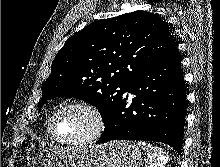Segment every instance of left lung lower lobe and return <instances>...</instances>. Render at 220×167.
<instances>
[{
    "label": "left lung lower lobe",
    "mask_w": 220,
    "mask_h": 167,
    "mask_svg": "<svg viewBox=\"0 0 220 167\" xmlns=\"http://www.w3.org/2000/svg\"><path fill=\"white\" fill-rule=\"evenodd\" d=\"M129 92L132 104L126 107ZM184 77L177 49L147 66L127 83L98 144L111 140L163 142L179 154L186 116Z\"/></svg>",
    "instance_id": "1"
}]
</instances>
